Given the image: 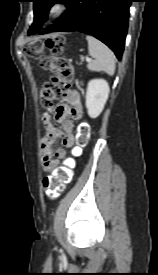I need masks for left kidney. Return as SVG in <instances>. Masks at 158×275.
<instances>
[{
  "instance_id": "5707ae66",
  "label": "left kidney",
  "mask_w": 158,
  "mask_h": 275,
  "mask_svg": "<svg viewBox=\"0 0 158 275\" xmlns=\"http://www.w3.org/2000/svg\"><path fill=\"white\" fill-rule=\"evenodd\" d=\"M109 91V85L104 79L89 81L85 105L91 118H97L101 114L108 99Z\"/></svg>"
}]
</instances>
